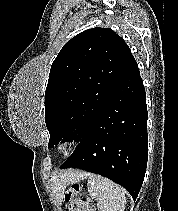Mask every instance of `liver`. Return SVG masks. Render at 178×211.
Returning a JSON list of instances; mask_svg holds the SVG:
<instances>
[{
  "instance_id": "1",
  "label": "liver",
  "mask_w": 178,
  "mask_h": 211,
  "mask_svg": "<svg viewBox=\"0 0 178 211\" xmlns=\"http://www.w3.org/2000/svg\"><path fill=\"white\" fill-rule=\"evenodd\" d=\"M81 178H83V173L77 170L61 171L59 174H54L51 177L52 191L59 204L62 202L65 188L69 184L79 181Z\"/></svg>"
}]
</instances>
